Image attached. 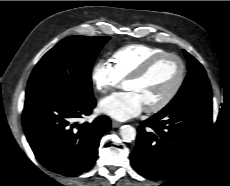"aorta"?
Masks as SVG:
<instances>
[{
  "label": "aorta",
  "instance_id": "obj_1",
  "mask_svg": "<svg viewBox=\"0 0 230 186\" xmlns=\"http://www.w3.org/2000/svg\"><path fill=\"white\" fill-rule=\"evenodd\" d=\"M120 135L124 142H131L136 138V129L131 125H124L120 129Z\"/></svg>",
  "mask_w": 230,
  "mask_h": 186
}]
</instances>
